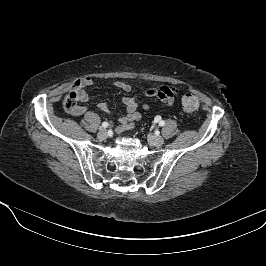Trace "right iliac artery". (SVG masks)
Instances as JSON below:
<instances>
[{"instance_id":"right-iliac-artery-1","label":"right iliac artery","mask_w":266,"mask_h":266,"mask_svg":"<svg viewBox=\"0 0 266 266\" xmlns=\"http://www.w3.org/2000/svg\"><path fill=\"white\" fill-rule=\"evenodd\" d=\"M108 125H109L108 122H103V123H102V127H103V128H107Z\"/></svg>"}]
</instances>
